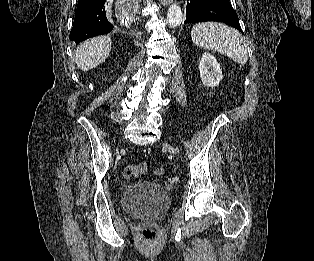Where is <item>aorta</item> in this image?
I'll return each mask as SVG.
<instances>
[{
    "label": "aorta",
    "instance_id": "762f6f07",
    "mask_svg": "<svg viewBox=\"0 0 314 261\" xmlns=\"http://www.w3.org/2000/svg\"><path fill=\"white\" fill-rule=\"evenodd\" d=\"M183 19V14L181 8L177 4H172L169 7L168 13H167V21L168 25L171 28L178 27Z\"/></svg>",
    "mask_w": 314,
    "mask_h": 261
}]
</instances>
